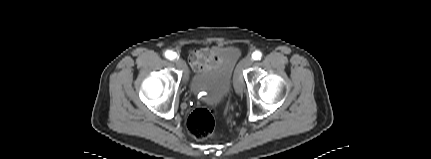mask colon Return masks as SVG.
<instances>
[{
	"label": "colon",
	"mask_w": 431,
	"mask_h": 159,
	"mask_svg": "<svg viewBox=\"0 0 431 159\" xmlns=\"http://www.w3.org/2000/svg\"><path fill=\"white\" fill-rule=\"evenodd\" d=\"M214 116H218L219 112L215 108H197L191 112L187 119V128L191 135L197 139H205L213 135L215 121Z\"/></svg>",
	"instance_id": "colon-1"
}]
</instances>
